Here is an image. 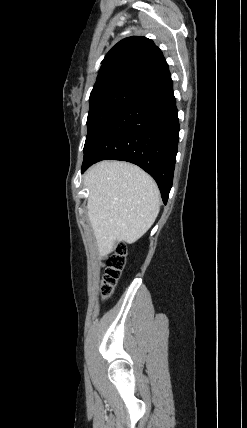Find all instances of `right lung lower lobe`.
Here are the masks:
<instances>
[{
    "label": "right lung lower lobe",
    "mask_w": 247,
    "mask_h": 428,
    "mask_svg": "<svg viewBox=\"0 0 247 428\" xmlns=\"http://www.w3.org/2000/svg\"><path fill=\"white\" fill-rule=\"evenodd\" d=\"M178 139L176 100L168 73L141 91L102 129L84 153L81 172L104 159L134 163L155 179L166 204Z\"/></svg>",
    "instance_id": "98d812e1"
}]
</instances>
